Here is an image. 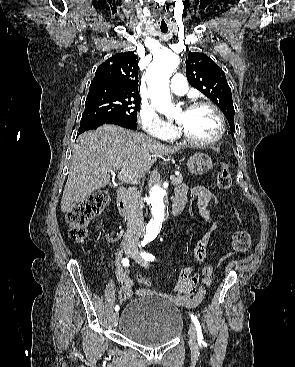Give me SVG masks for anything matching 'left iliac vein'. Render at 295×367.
<instances>
[{
  "instance_id": "1",
  "label": "left iliac vein",
  "mask_w": 295,
  "mask_h": 367,
  "mask_svg": "<svg viewBox=\"0 0 295 367\" xmlns=\"http://www.w3.org/2000/svg\"><path fill=\"white\" fill-rule=\"evenodd\" d=\"M131 257L141 266L148 268L149 264L140 256L139 252L134 249ZM189 345L193 353H198V339L196 330L193 324L189 326Z\"/></svg>"
}]
</instances>
